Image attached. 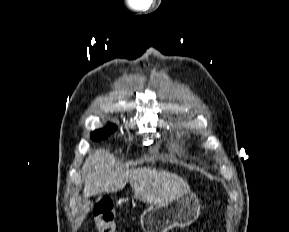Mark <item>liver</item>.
<instances>
[{"mask_svg": "<svg viewBox=\"0 0 289 232\" xmlns=\"http://www.w3.org/2000/svg\"><path fill=\"white\" fill-rule=\"evenodd\" d=\"M83 196L122 190L129 182L136 197L149 205L164 204L190 192V186L180 176L151 168L115 169V157L109 151L97 149L86 159Z\"/></svg>", "mask_w": 289, "mask_h": 232, "instance_id": "1", "label": "liver"}]
</instances>
